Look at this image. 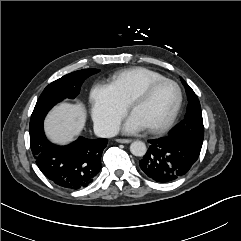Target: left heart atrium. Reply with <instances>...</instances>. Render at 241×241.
<instances>
[{
  "instance_id": "1",
  "label": "left heart atrium",
  "mask_w": 241,
  "mask_h": 241,
  "mask_svg": "<svg viewBox=\"0 0 241 241\" xmlns=\"http://www.w3.org/2000/svg\"><path fill=\"white\" fill-rule=\"evenodd\" d=\"M146 126L133 114L129 117L124 125V131L127 133H133L145 129Z\"/></svg>"
}]
</instances>
